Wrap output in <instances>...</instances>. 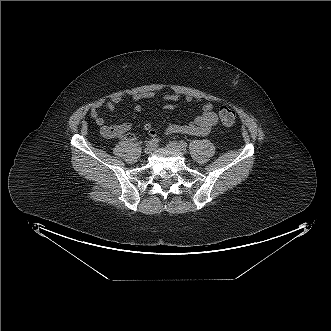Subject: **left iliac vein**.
<instances>
[{"label":"left iliac vein","instance_id":"1","mask_svg":"<svg viewBox=\"0 0 331 331\" xmlns=\"http://www.w3.org/2000/svg\"><path fill=\"white\" fill-rule=\"evenodd\" d=\"M169 148L173 149V150H176L180 153H183L185 154L186 153V149L185 148H182L179 143L175 142V141H171L168 143L167 145Z\"/></svg>","mask_w":331,"mask_h":331}]
</instances>
